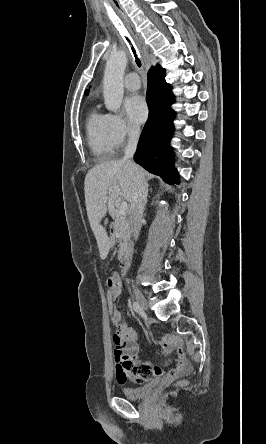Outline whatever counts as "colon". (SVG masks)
I'll return each mask as SVG.
<instances>
[{
    "mask_svg": "<svg viewBox=\"0 0 266 444\" xmlns=\"http://www.w3.org/2000/svg\"><path fill=\"white\" fill-rule=\"evenodd\" d=\"M118 288H119V286L117 283H112V285L109 287L110 290L107 295V308H108V311H109L111 317L114 316L118 312V310L116 308V303H115L116 298L118 296Z\"/></svg>",
    "mask_w": 266,
    "mask_h": 444,
    "instance_id": "colon-1",
    "label": "colon"
}]
</instances>
